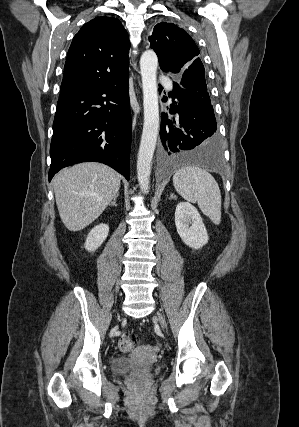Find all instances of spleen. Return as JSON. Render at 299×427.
Here are the masks:
<instances>
[{"mask_svg": "<svg viewBox=\"0 0 299 427\" xmlns=\"http://www.w3.org/2000/svg\"><path fill=\"white\" fill-rule=\"evenodd\" d=\"M173 185L185 200L197 202L203 214L214 224H220L221 192L209 172L197 166L183 167L175 172Z\"/></svg>", "mask_w": 299, "mask_h": 427, "instance_id": "obj_1", "label": "spleen"}]
</instances>
